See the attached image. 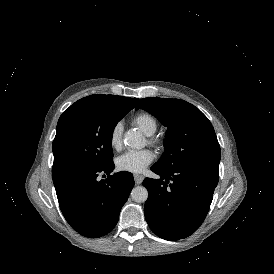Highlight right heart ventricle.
I'll return each instance as SVG.
<instances>
[{"instance_id": "obj_1", "label": "right heart ventricle", "mask_w": 274, "mask_h": 274, "mask_svg": "<svg viewBox=\"0 0 274 274\" xmlns=\"http://www.w3.org/2000/svg\"><path fill=\"white\" fill-rule=\"evenodd\" d=\"M133 122L145 135H153L157 130L155 119L149 114H141L133 119Z\"/></svg>"}]
</instances>
